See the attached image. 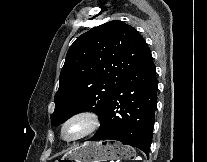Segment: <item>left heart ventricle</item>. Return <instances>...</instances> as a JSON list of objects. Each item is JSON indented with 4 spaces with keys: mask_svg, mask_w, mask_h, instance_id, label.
Masks as SVG:
<instances>
[{
    "mask_svg": "<svg viewBox=\"0 0 207 162\" xmlns=\"http://www.w3.org/2000/svg\"><path fill=\"white\" fill-rule=\"evenodd\" d=\"M83 129H84V123H82V122L74 123L73 125L68 127V129L66 131V135L68 137L75 136V135L79 134Z\"/></svg>",
    "mask_w": 207,
    "mask_h": 162,
    "instance_id": "left-heart-ventricle-1",
    "label": "left heart ventricle"
}]
</instances>
